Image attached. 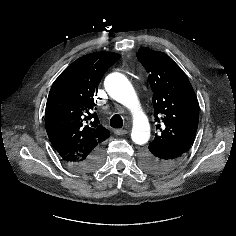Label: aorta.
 <instances>
[{"instance_id": "762f6f07", "label": "aorta", "mask_w": 236, "mask_h": 236, "mask_svg": "<svg viewBox=\"0 0 236 236\" xmlns=\"http://www.w3.org/2000/svg\"><path fill=\"white\" fill-rule=\"evenodd\" d=\"M108 94L117 102L126 106L133 115L132 141L143 145L150 138V125L140 107L136 92L130 81L121 73L109 74L104 81Z\"/></svg>"}]
</instances>
